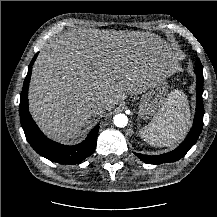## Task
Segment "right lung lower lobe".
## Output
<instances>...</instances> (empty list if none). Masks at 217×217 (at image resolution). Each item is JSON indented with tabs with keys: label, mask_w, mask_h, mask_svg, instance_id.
<instances>
[{
	"label": "right lung lower lobe",
	"mask_w": 217,
	"mask_h": 217,
	"mask_svg": "<svg viewBox=\"0 0 217 217\" xmlns=\"http://www.w3.org/2000/svg\"><path fill=\"white\" fill-rule=\"evenodd\" d=\"M34 60L35 58H33L32 61ZM32 64L31 62V65ZM31 65L28 67V73L24 81L19 105L20 121L28 142L38 154L50 161L61 164H76L81 162L93 153L96 146L99 126L97 125L89 133L84 142L74 146H64L45 137L28 111L27 88L30 81Z\"/></svg>",
	"instance_id": "right-lung-lower-lobe-1"
}]
</instances>
